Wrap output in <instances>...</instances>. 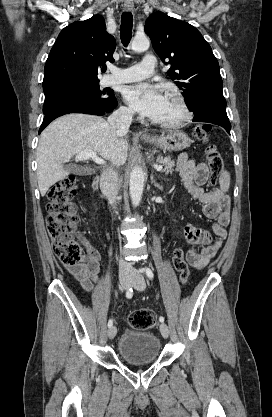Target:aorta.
Returning a JSON list of instances; mask_svg holds the SVG:
<instances>
[{"instance_id":"aorta-1","label":"aorta","mask_w":272,"mask_h":417,"mask_svg":"<svg viewBox=\"0 0 272 417\" xmlns=\"http://www.w3.org/2000/svg\"><path fill=\"white\" fill-rule=\"evenodd\" d=\"M150 46V41L146 36L134 37L131 48L135 52L146 51ZM144 172L140 166H135L130 173L129 192L133 206H138L143 193L144 188Z\"/></svg>"}]
</instances>
